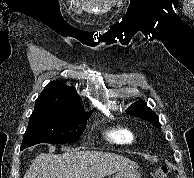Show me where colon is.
<instances>
[{
  "mask_svg": "<svg viewBox=\"0 0 194 178\" xmlns=\"http://www.w3.org/2000/svg\"><path fill=\"white\" fill-rule=\"evenodd\" d=\"M153 178H167L168 168L166 166H161L156 168L152 174Z\"/></svg>",
  "mask_w": 194,
  "mask_h": 178,
  "instance_id": "obj_1",
  "label": "colon"
}]
</instances>
